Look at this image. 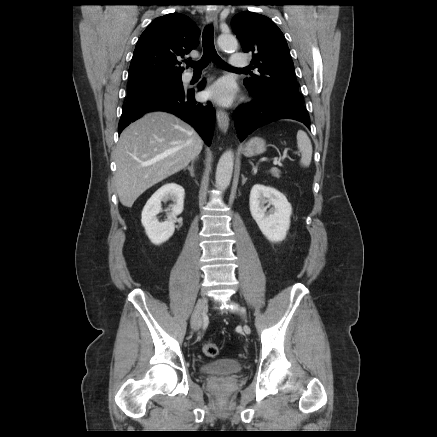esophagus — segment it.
I'll return each mask as SVG.
<instances>
[{
  "label": "esophagus",
  "instance_id": "34e87169",
  "mask_svg": "<svg viewBox=\"0 0 437 437\" xmlns=\"http://www.w3.org/2000/svg\"><path fill=\"white\" fill-rule=\"evenodd\" d=\"M206 20L209 24H213L214 26H217V12L214 10H208L206 12ZM216 115H217V122L219 129L226 133L229 127V116L228 113L221 109H216Z\"/></svg>",
  "mask_w": 437,
  "mask_h": 437
}]
</instances>
